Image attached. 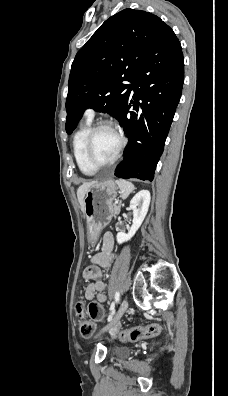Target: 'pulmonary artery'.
Masks as SVG:
<instances>
[{"instance_id":"pulmonary-artery-1","label":"pulmonary artery","mask_w":228,"mask_h":396,"mask_svg":"<svg viewBox=\"0 0 228 396\" xmlns=\"http://www.w3.org/2000/svg\"><path fill=\"white\" fill-rule=\"evenodd\" d=\"M86 115H87V117L92 118L93 115H94V111H93L92 109H88V110L86 111Z\"/></svg>"}]
</instances>
